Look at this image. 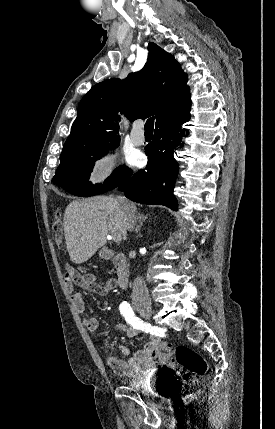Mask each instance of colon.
Here are the masks:
<instances>
[{
	"mask_svg": "<svg viewBox=\"0 0 275 429\" xmlns=\"http://www.w3.org/2000/svg\"><path fill=\"white\" fill-rule=\"evenodd\" d=\"M52 238L58 247L63 243V230L59 220L52 226ZM70 275V268L66 269L64 276ZM158 360L162 368L169 374L185 381H191L195 377L204 376L208 371V363L198 352L186 345L173 348L167 342H162L158 351ZM194 394L186 396L187 402L193 401Z\"/></svg>",
	"mask_w": 275,
	"mask_h": 429,
	"instance_id": "obj_1",
	"label": "colon"
}]
</instances>
